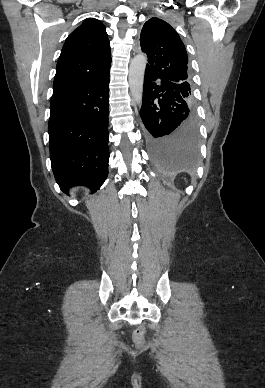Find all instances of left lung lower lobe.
I'll use <instances>...</instances> for the list:
<instances>
[{
    "mask_svg": "<svg viewBox=\"0 0 265 388\" xmlns=\"http://www.w3.org/2000/svg\"><path fill=\"white\" fill-rule=\"evenodd\" d=\"M182 94L180 85L145 70L140 115L153 162L165 171L192 170L198 159L197 118Z\"/></svg>",
    "mask_w": 265,
    "mask_h": 388,
    "instance_id": "left-lung-lower-lobe-1",
    "label": "left lung lower lobe"
}]
</instances>
